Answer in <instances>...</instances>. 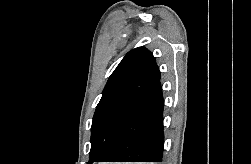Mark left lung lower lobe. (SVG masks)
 <instances>
[{
  "label": "left lung lower lobe",
  "instance_id": "0a47b994",
  "mask_svg": "<svg viewBox=\"0 0 251 164\" xmlns=\"http://www.w3.org/2000/svg\"><path fill=\"white\" fill-rule=\"evenodd\" d=\"M163 103L159 79L130 108L102 162H162Z\"/></svg>",
  "mask_w": 251,
  "mask_h": 164
}]
</instances>
